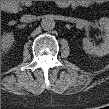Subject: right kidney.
Instances as JSON below:
<instances>
[{"mask_svg": "<svg viewBox=\"0 0 109 109\" xmlns=\"http://www.w3.org/2000/svg\"><path fill=\"white\" fill-rule=\"evenodd\" d=\"M13 42H14V36L12 33L3 34L2 38H1L2 50L4 52L7 51L12 46Z\"/></svg>", "mask_w": 109, "mask_h": 109, "instance_id": "1", "label": "right kidney"}]
</instances>
